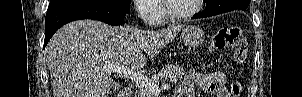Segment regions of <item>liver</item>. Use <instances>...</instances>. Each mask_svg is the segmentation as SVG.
I'll return each mask as SVG.
<instances>
[{
	"label": "liver",
	"mask_w": 302,
	"mask_h": 97,
	"mask_svg": "<svg viewBox=\"0 0 302 97\" xmlns=\"http://www.w3.org/2000/svg\"><path fill=\"white\" fill-rule=\"evenodd\" d=\"M184 27L146 31L95 20L64 25L45 49L54 97H108L113 81L106 66L144 67Z\"/></svg>",
	"instance_id": "1"
}]
</instances>
